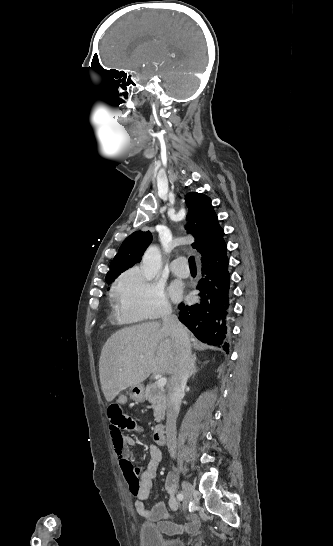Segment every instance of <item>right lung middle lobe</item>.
<instances>
[{
    "mask_svg": "<svg viewBox=\"0 0 333 546\" xmlns=\"http://www.w3.org/2000/svg\"><path fill=\"white\" fill-rule=\"evenodd\" d=\"M123 271L124 270H121L119 272H114V273H111L110 275H107L106 276L107 283L108 284L112 283L115 280V278H117L120 275V273L123 272Z\"/></svg>",
    "mask_w": 333,
    "mask_h": 546,
    "instance_id": "1",
    "label": "right lung middle lobe"
}]
</instances>
